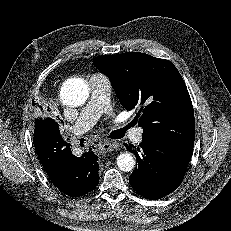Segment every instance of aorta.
I'll use <instances>...</instances> for the list:
<instances>
[{
    "mask_svg": "<svg viewBox=\"0 0 231 231\" xmlns=\"http://www.w3.org/2000/svg\"><path fill=\"white\" fill-rule=\"evenodd\" d=\"M89 97V88L84 80L72 78L65 81L61 87L60 98L69 107H78ZM117 166L121 171H132L136 165L133 155L129 152L117 157Z\"/></svg>",
    "mask_w": 231,
    "mask_h": 231,
    "instance_id": "1",
    "label": "aorta"
}]
</instances>
